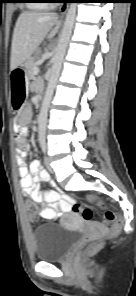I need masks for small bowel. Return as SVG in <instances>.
I'll return each mask as SVG.
<instances>
[{"mask_svg":"<svg viewBox=\"0 0 136 296\" xmlns=\"http://www.w3.org/2000/svg\"><path fill=\"white\" fill-rule=\"evenodd\" d=\"M30 116L31 111L27 108L17 118L19 135L16 139V162L20 176V187L24 196L30 197L36 202L47 203L39 215L30 216L31 221H36L38 216L53 221L60 219L70 211L73 198L70 195L62 194L55 188V183L51 181L49 173L43 169L39 159L34 158L29 165L27 164L26 157L31 146L25 141L24 136L28 132L26 123ZM40 182H51L52 188L42 189Z\"/></svg>","mask_w":136,"mask_h":296,"instance_id":"1","label":"small bowel"}]
</instances>
